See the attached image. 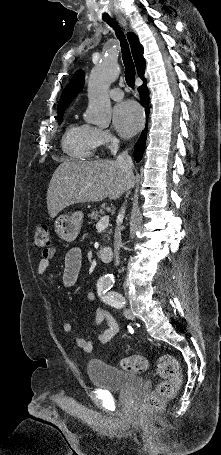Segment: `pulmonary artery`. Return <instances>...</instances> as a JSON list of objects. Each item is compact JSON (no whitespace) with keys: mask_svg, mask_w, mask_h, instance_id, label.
I'll use <instances>...</instances> for the list:
<instances>
[{"mask_svg":"<svg viewBox=\"0 0 221 455\" xmlns=\"http://www.w3.org/2000/svg\"><path fill=\"white\" fill-rule=\"evenodd\" d=\"M110 97L113 100L119 101L123 98V92L120 88H113L110 90Z\"/></svg>","mask_w":221,"mask_h":455,"instance_id":"1","label":"pulmonary artery"}]
</instances>
